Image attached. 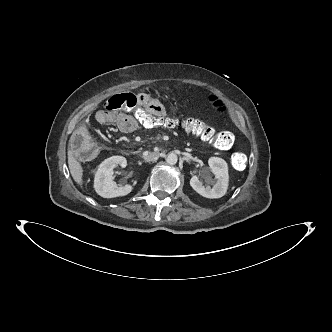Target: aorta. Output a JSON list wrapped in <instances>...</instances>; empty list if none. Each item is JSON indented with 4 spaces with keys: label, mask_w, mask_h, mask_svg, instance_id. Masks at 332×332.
Listing matches in <instances>:
<instances>
[{
    "label": "aorta",
    "mask_w": 332,
    "mask_h": 332,
    "mask_svg": "<svg viewBox=\"0 0 332 332\" xmlns=\"http://www.w3.org/2000/svg\"><path fill=\"white\" fill-rule=\"evenodd\" d=\"M166 163L169 165H175L177 163L178 157L175 153H169L166 157Z\"/></svg>",
    "instance_id": "762f6f07"
}]
</instances>
